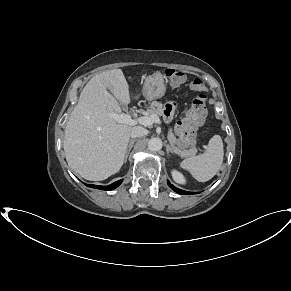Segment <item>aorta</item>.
<instances>
[{
    "label": "aorta",
    "instance_id": "aorta-1",
    "mask_svg": "<svg viewBox=\"0 0 291 291\" xmlns=\"http://www.w3.org/2000/svg\"><path fill=\"white\" fill-rule=\"evenodd\" d=\"M162 148V141L160 138H151L148 142V149L151 151H158Z\"/></svg>",
    "mask_w": 291,
    "mask_h": 291
}]
</instances>
